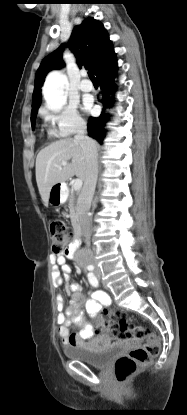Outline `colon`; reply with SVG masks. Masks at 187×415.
<instances>
[{"label":"colon","instance_id":"obj_1","mask_svg":"<svg viewBox=\"0 0 187 415\" xmlns=\"http://www.w3.org/2000/svg\"><path fill=\"white\" fill-rule=\"evenodd\" d=\"M52 251L55 254H68L75 241L73 230L61 220L50 223ZM97 330L109 334H117L125 338H133L143 342L142 346L133 348L127 355L119 357L114 366L115 377L124 382L146 365L151 357L160 352V342L144 326L129 321L119 313L103 307L98 310Z\"/></svg>","mask_w":187,"mask_h":415}]
</instances>
